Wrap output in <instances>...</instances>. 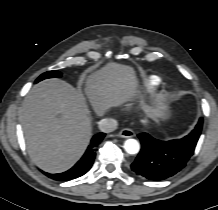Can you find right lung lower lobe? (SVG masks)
Returning <instances> with one entry per match:
<instances>
[{
	"label": "right lung lower lobe",
	"mask_w": 218,
	"mask_h": 210,
	"mask_svg": "<svg viewBox=\"0 0 218 210\" xmlns=\"http://www.w3.org/2000/svg\"><path fill=\"white\" fill-rule=\"evenodd\" d=\"M104 136L105 133H98L94 135L83 157L68 171L58 174H49L44 172V174L58 181H68L84 175L93 165L96 147L102 141Z\"/></svg>",
	"instance_id": "1"
}]
</instances>
